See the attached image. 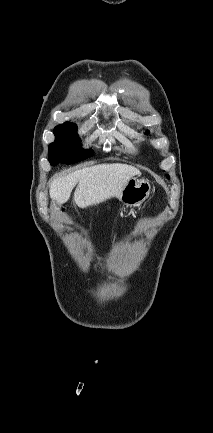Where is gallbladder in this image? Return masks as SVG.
I'll return each mask as SVG.
<instances>
[{
  "label": "gallbladder",
  "instance_id": "gallbladder-1",
  "mask_svg": "<svg viewBox=\"0 0 213 433\" xmlns=\"http://www.w3.org/2000/svg\"><path fill=\"white\" fill-rule=\"evenodd\" d=\"M53 205L57 208V207H59V204L56 202V201H54L53 200Z\"/></svg>",
  "mask_w": 213,
  "mask_h": 433
}]
</instances>
